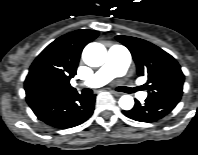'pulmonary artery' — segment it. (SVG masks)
Listing matches in <instances>:
<instances>
[{
	"mask_svg": "<svg viewBox=\"0 0 198 155\" xmlns=\"http://www.w3.org/2000/svg\"><path fill=\"white\" fill-rule=\"evenodd\" d=\"M130 65V55L126 49L113 46L109 49L104 65L97 70L82 86L100 87L110 82L115 77L126 74ZM132 93L141 101L146 98V92L139 91L131 86Z\"/></svg>",
	"mask_w": 198,
	"mask_h": 155,
	"instance_id": "pulmonary-artery-1",
	"label": "pulmonary artery"
}]
</instances>
